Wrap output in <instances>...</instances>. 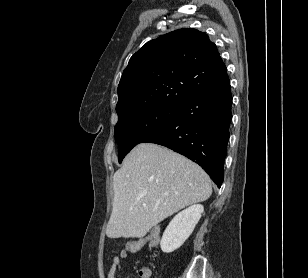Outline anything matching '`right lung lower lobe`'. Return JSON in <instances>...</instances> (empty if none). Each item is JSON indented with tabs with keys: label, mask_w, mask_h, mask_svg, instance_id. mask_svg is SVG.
I'll return each mask as SVG.
<instances>
[{
	"label": "right lung lower lobe",
	"mask_w": 308,
	"mask_h": 278,
	"mask_svg": "<svg viewBox=\"0 0 308 278\" xmlns=\"http://www.w3.org/2000/svg\"><path fill=\"white\" fill-rule=\"evenodd\" d=\"M230 81L178 106L177 117L143 142L166 146L197 162L221 186L232 119Z\"/></svg>",
	"instance_id": "1"
}]
</instances>
